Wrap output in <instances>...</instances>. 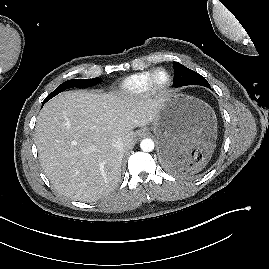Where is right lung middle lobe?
<instances>
[{
  "label": "right lung middle lobe",
  "instance_id": "right-lung-middle-lobe-1",
  "mask_svg": "<svg viewBox=\"0 0 269 269\" xmlns=\"http://www.w3.org/2000/svg\"><path fill=\"white\" fill-rule=\"evenodd\" d=\"M101 82L100 78H92V79H72L68 80L61 85H59L51 94H49L45 100L43 101V104H45L48 100L56 96L57 94L61 93L62 91L73 88V87H79V88H87L94 86Z\"/></svg>",
  "mask_w": 269,
  "mask_h": 269
}]
</instances>
